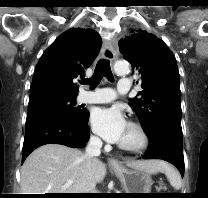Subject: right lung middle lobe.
Masks as SVG:
<instances>
[{
	"instance_id": "dd1d6c3e",
	"label": "right lung middle lobe",
	"mask_w": 208,
	"mask_h": 198,
	"mask_svg": "<svg viewBox=\"0 0 208 198\" xmlns=\"http://www.w3.org/2000/svg\"><path fill=\"white\" fill-rule=\"evenodd\" d=\"M45 114H62L78 121L87 119L88 112L80 107H75V98L54 100L28 107L27 120Z\"/></svg>"
}]
</instances>
